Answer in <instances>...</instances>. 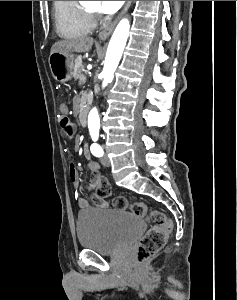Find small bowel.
<instances>
[{"label":"small bowel","instance_id":"obj_1","mask_svg":"<svg viewBox=\"0 0 237 300\" xmlns=\"http://www.w3.org/2000/svg\"><path fill=\"white\" fill-rule=\"evenodd\" d=\"M60 110L62 113H67L68 112V107L67 105L65 104H62L61 107H60ZM83 151H84V154L86 157H88V151H87V148L86 146L83 147ZM89 170L91 172H97L99 170V165L96 163V162H90L89 163ZM70 178L73 182V185H74V190H75V193L78 194L79 192V186H78V171L76 169V166L74 163H71L70 165ZM94 201L96 202V204L99 206V207H106L107 204L106 202L102 201V200H99L97 198L94 197ZM80 204L82 207H87L88 206V202L84 199H81L80 200Z\"/></svg>","mask_w":237,"mask_h":300}]
</instances>
